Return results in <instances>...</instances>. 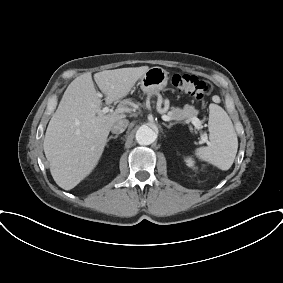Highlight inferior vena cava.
Masks as SVG:
<instances>
[{
    "label": "inferior vena cava",
    "mask_w": 283,
    "mask_h": 283,
    "mask_svg": "<svg viewBox=\"0 0 283 283\" xmlns=\"http://www.w3.org/2000/svg\"><path fill=\"white\" fill-rule=\"evenodd\" d=\"M129 124V121L127 119H121L117 121L113 126L111 127V132L114 134H120L125 131Z\"/></svg>",
    "instance_id": "obj_1"
}]
</instances>
